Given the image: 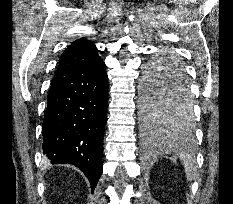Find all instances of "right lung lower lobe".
I'll return each mask as SVG.
<instances>
[{
	"label": "right lung lower lobe",
	"mask_w": 233,
	"mask_h": 204,
	"mask_svg": "<svg viewBox=\"0 0 233 204\" xmlns=\"http://www.w3.org/2000/svg\"><path fill=\"white\" fill-rule=\"evenodd\" d=\"M108 102L104 62L76 66L51 86L43 121V151L55 164H73L94 189L102 174L103 134Z\"/></svg>",
	"instance_id": "obj_1"
}]
</instances>
